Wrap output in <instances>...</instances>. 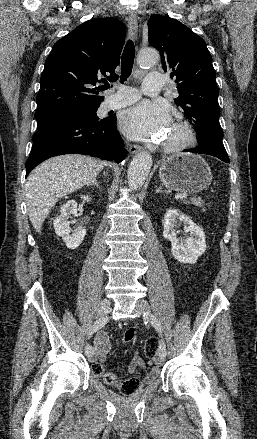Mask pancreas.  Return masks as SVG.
I'll list each match as a JSON object with an SVG mask.
<instances>
[{
	"mask_svg": "<svg viewBox=\"0 0 257 439\" xmlns=\"http://www.w3.org/2000/svg\"><path fill=\"white\" fill-rule=\"evenodd\" d=\"M184 203H185V204H187V203H189V204H194V205L197 206V207H202L203 210H204V201H203L201 198L193 197V198H190L189 201L184 200Z\"/></svg>",
	"mask_w": 257,
	"mask_h": 439,
	"instance_id": "pancreas-1",
	"label": "pancreas"
}]
</instances>
